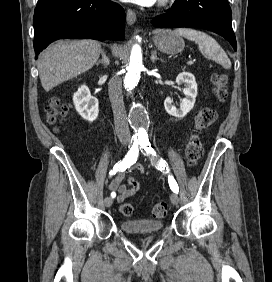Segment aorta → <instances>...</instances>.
Here are the masks:
<instances>
[{
    "label": "aorta",
    "mask_w": 272,
    "mask_h": 282,
    "mask_svg": "<svg viewBox=\"0 0 272 282\" xmlns=\"http://www.w3.org/2000/svg\"><path fill=\"white\" fill-rule=\"evenodd\" d=\"M142 69V50L139 44H134L130 54V62L124 78V87L132 92L138 85ZM130 121L134 128V138L142 140L148 137L146 130V112L140 105H133L130 110Z\"/></svg>",
    "instance_id": "aorta-1"
}]
</instances>
